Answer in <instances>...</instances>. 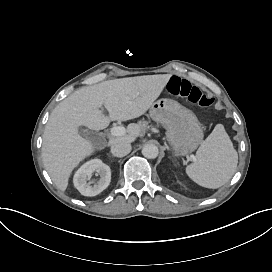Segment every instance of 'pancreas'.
<instances>
[{
    "instance_id": "obj_1",
    "label": "pancreas",
    "mask_w": 272,
    "mask_h": 272,
    "mask_svg": "<svg viewBox=\"0 0 272 272\" xmlns=\"http://www.w3.org/2000/svg\"><path fill=\"white\" fill-rule=\"evenodd\" d=\"M139 125L141 126V129L146 130L148 128V122L142 121L139 122Z\"/></svg>"
}]
</instances>
